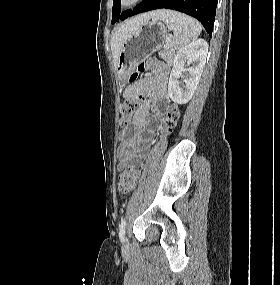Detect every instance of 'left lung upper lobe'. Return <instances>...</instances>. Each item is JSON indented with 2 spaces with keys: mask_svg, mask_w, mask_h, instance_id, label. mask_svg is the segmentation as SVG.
I'll use <instances>...</instances> for the list:
<instances>
[{
  "mask_svg": "<svg viewBox=\"0 0 280 285\" xmlns=\"http://www.w3.org/2000/svg\"><path fill=\"white\" fill-rule=\"evenodd\" d=\"M113 1H114V4L112 8V23L114 24L116 21L119 20V18L121 20H124L125 18L130 16L132 10L124 11L120 16V12H121L120 0H113Z\"/></svg>",
  "mask_w": 280,
  "mask_h": 285,
  "instance_id": "1",
  "label": "left lung upper lobe"
}]
</instances>
